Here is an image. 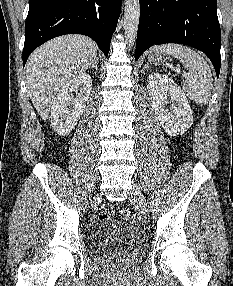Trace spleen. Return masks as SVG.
<instances>
[{
  "instance_id": "1",
  "label": "spleen",
  "mask_w": 233,
  "mask_h": 286,
  "mask_svg": "<svg viewBox=\"0 0 233 286\" xmlns=\"http://www.w3.org/2000/svg\"><path fill=\"white\" fill-rule=\"evenodd\" d=\"M161 53L171 54L188 70V77L182 87L186 95L197 105L208 104L213 79L211 69L202 55L181 44H164L158 47Z\"/></svg>"
}]
</instances>
